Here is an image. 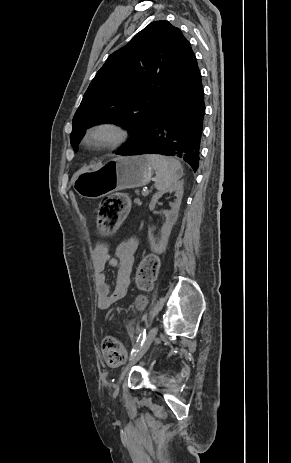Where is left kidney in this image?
Instances as JSON below:
<instances>
[{
  "label": "left kidney",
  "instance_id": "1",
  "mask_svg": "<svg viewBox=\"0 0 291 463\" xmlns=\"http://www.w3.org/2000/svg\"><path fill=\"white\" fill-rule=\"evenodd\" d=\"M168 192H175L176 200L175 202L171 205V210L169 211H163V214L165 215L166 221L164 225L162 226L161 229V239L159 241H156V239L153 236L152 229H149L148 232V238L150 241V246L153 252L157 254H161L165 251L168 239L172 230L173 225L175 224L177 218H178V212L181 204V200L183 197L184 189H183V182H177L170 186L169 188L159 191L155 193L152 197V200L149 204V209L150 211H153L155 209V205L157 201L165 194Z\"/></svg>",
  "mask_w": 291,
  "mask_h": 463
}]
</instances>
